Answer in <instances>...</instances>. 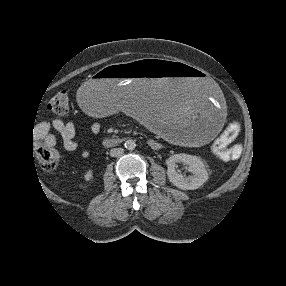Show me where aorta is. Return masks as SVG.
I'll return each instance as SVG.
<instances>
[{"label": "aorta", "instance_id": "aorta-1", "mask_svg": "<svg viewBox=\"0 0 286 286\" xmlns=\"http://www.w3.org/2000/svg\"><path fill=\"white\" fill-rule=\"evenodd\" d=\"M124 145L125 148L128 150H133L136 147L135 141L131 139L127 140Z\"/></svg>", "mask_w": 286, "mask_h": 286}]
</instances>
